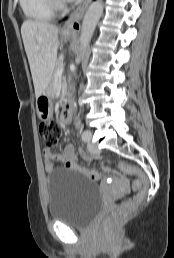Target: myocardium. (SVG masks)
<instances>
[{
	"label": "myocardium",
	"mask_w": 174,
	"mask_h": 258,
	"mask_svg": "<svg viewBox=\"0 0 174 258\" xmlns=\"http://www.w3.org/2000/svg\"><path fill=\"white\" fill-rule=\"evenodd\" d=\"M52 8L54 10H63L65 9V1L64 0H49Z\"/></svg>",
	"instance_id": "f54148a6"
}]
</instances>
